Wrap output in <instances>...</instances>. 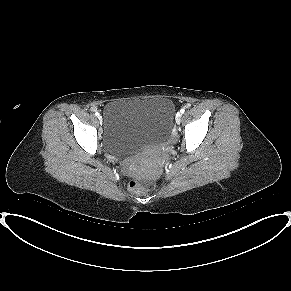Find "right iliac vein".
<instances>
[{
	"instance_id": "obj_1",
	"label": "right iliac vein",
	"mask_w": 291,
	"mask_h": 291,
	"mask_svg": "<svg viewBox=\"0 0 291 291\" xmlns=\"http://www.w3.org/2000/svg\"><path fill=\"white\" fill-rule=\"evenodd\" d=\"M98 119L101 121V120H102V116H101V115H99V116H98Z\"/></svg>"
}]
</instances>
